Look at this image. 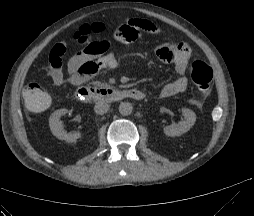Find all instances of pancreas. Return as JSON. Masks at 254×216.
Wrapping results in <instances>:
<instances>
[{
	"instance_id": "cf45deb5",
	"label": "pancreas",
	"mask_w": 254,
	"mask_h": 216,
	"mask_svg": "<svg viewBox=\"0 0 254 216\" xmlns=\"http://www.w3.org/2000/svg\"><path fill=\"white\" fill-rule=\"evenodd\" d=\"M92 84L95 85V86H98V87H102V86H106L107 85L106 83L99 82V81L92 82Z\"/></svg>"
}]
</instances>
